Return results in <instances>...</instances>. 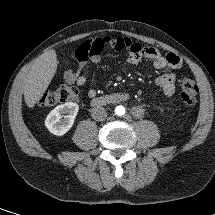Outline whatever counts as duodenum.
<instances>
[{"mask_svg": "<svg viewBox=\"0 0 215 215\" xmlns=\"http://www.w3.org/2000/svg\"><path fill=\"white\" fill-rule=\"evenodd\" d=\"M129 99V94L126 92H116L103 95L92 100V105L95 107L106 106L110 104H118Z\"/></svg>", "mask_w": 215, "mask_h": 215, "instance_id": "1", "label": "duodenum"}]
</instances>
